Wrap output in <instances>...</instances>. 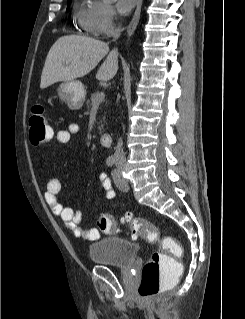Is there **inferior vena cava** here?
<instances>
[{
  "label": "inferior vena cava",
  "mask_w": 245,
  "mask_h": 319,
  "mask_svg": "<svg viewBox=\"0 0 245 319\" xmlns=\"http://www.w3.org/2000/svg\"><path fill=\"white\" fill-rule=\"evenodd\" d=\"M120 31H121L120 28L115 29V31L112 32V36L115 39H117L120 36ZM115 51H117V50H115ZM114 156H115L116 162L119 163V164L124 163L125 160H126L125 154H124V151H123V142H122L121 138L118 140L117 146L115 148Z\"/></svg>",
  "instance_id": "inferior-vena-cava-1"
}]
</instances>
